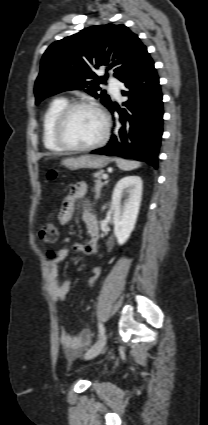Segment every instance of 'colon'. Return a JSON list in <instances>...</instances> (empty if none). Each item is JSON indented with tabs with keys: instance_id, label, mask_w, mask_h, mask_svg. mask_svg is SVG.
<instances>
[{
	"instance_id": "obj_1",
	"label": "colon",
	"mask_w": 208,
	"mask_h": 425,
	"mask_svg": "<svg viewBox=\"0 0 208 425\" xmlns=\"http://www.w3.org/2000/svg\"><path fill=\"white\" fill-rule=\"evenodd\" d=\"M57 171L50 170L47 178L53 181L57 178ZM40 238L46 243H55L58 239V228L54 222H46L40 230ZM54 256L53 253H51ZM102 270L100 268L92 269L84 279V284L87 288H95L102 278Z\"/></svg>"
}]
</instances>
